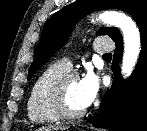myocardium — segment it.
Here are the masks:
<instances>
[{"label": "myocardium", "mask_w": 147, "mask_h": 131, "mask_svg": "<svg viewBox=\"0 0 147 131\" xmlns=\"http://www.w3.org/2000/svg\"><path fill=\"white\" fill-rule=\"evenodd\" d=\"M79 79V74L75 71H68L61 75L52 85L50 89V100L56 114L61 119L74 120L81 118L87 112V109L74 111L67 104L66 92L70 81Z\"/></svg>", "instance_id": "f54148a6"}]
</instances>
